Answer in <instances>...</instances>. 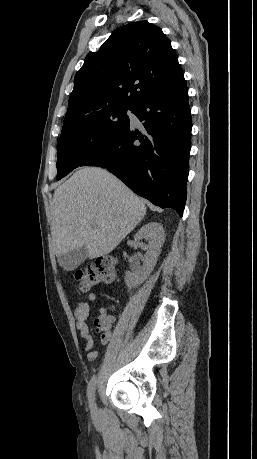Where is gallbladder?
Returning a JSON list of instances; mask_svg holds the SVG:
<instances>
[{
  "label": "gallbladder",
  "instance_id": "bac80fb5",
  "mask_svg": "<svg viewBox=\"0 0 257 459\" xmlns=\"http://www.w3.org/2000/svg\"><path fill=\"white\" fill-rule=\"evenodd\" d=\"M88 255V249L86 246H82L73 251H69L58 257L59 265L67 270L71 271L76 269L80 264H82Z\"/></svg>",
  "mask_w": 257,
  "mask_h": 459
}]
</instances>
